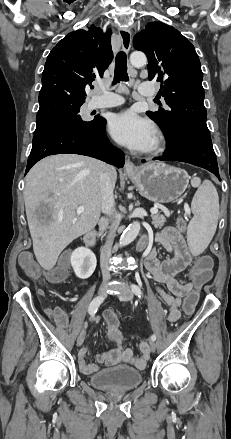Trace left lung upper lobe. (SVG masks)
Here are the masks:
<instances>
[{"instance_id": "1", "label": "left lung upper lobe", "mask_w": 231, "mask_h": 439, "mask_svg": "<svg viewBox=\"0 0 231 439\" xmlns=\"http://www.w3.org/2000/svg\"><path fill=\"white\" fill-rule=\"evenodd\" d=\"M133 45L146 54L148 78L161 83L160 95L171 108L147 111L165 137L182 130L210 136L203 103V74L192 43L172 26L154 22L134 36Z\"/></svg>"}]
</instances>
